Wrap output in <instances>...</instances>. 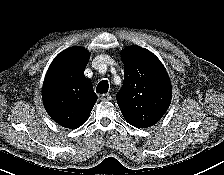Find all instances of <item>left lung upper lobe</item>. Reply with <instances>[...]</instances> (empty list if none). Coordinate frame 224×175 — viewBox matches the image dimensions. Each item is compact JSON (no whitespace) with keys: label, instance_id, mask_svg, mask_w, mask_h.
Segmentation results:
<instances>
[{"label":"left lung upper lobe","instance_id":"obj_1","mask_svg":"<svg viewBox=\"0 0 224 175\" xmlns=\"http://www.w3.org/2000/svg\"><path fill=\"white\" fill-rule=\"evenodd\" d=\"M121 57L125 67L118 106L135 127L153 126L171 102L172 88L166 69L154 54L139 46L125 48Z\"/></svg>","mask_w":224,"mask_h":175}]
</instances>
